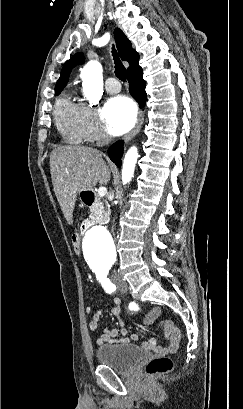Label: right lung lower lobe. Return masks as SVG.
Wrapping results in <instances>:
<instances>
[{"label":"right lung lower lobe","instance_id":"98d812e1","mask_svg":"<svg viewBox=\"0 0 243 409\" xmlns=\"http://www.w3.org/2000/svg\"><path fill=\"white\" fill-rule=\"evenodd\" d=\"M128 82L131 90V95L137 100L140 107H144L146 102L145 87L146 83L142 77V70L128 76ZM124 141L114 143L108 151L110 159L118 166H121V157L123 154Z\"/></svg>","mask_w":243,"mask_h":409}]
</instances>
